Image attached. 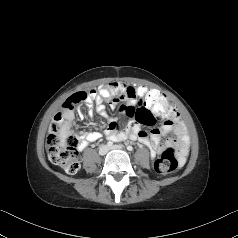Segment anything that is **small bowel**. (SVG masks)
Instances as JSON below:
<instances>
[{"label":"small bowel","instance_id":"obj_1","mask_svg":"<svg viewBox=\"0 0 238 238\" xmlns=\"http://www.w3.org/2000/svg\"><path fill=\"white\" fill-rule=\"evenodd\" d=\"M134 86H128V90L125 94L117 97L119 102L122 101L121 112L128 115L130 120L128 121L124 129H119L118 121L116 118H108L105 106L100 103L99 94L96 91L90 90L84 102L86 106L107 119V125L104 128V135L112 141H123L125 139H130L134 141H139L146 145L154 157L157 154L163 152L166 148L175 145L177 147L178 156L180 162H183L189 147V136L185 125L180 121L177 112H174L170 117L163 119V123L159 128H153L157 125L158 120L149 111L148 100L144 97H139L135 93ZM117 103H110L114 107ZM79 116L82 117V113L79 111ZM61 117V120H60ZM74 118L73 107L68 108L63 104V111L58 113L54 117V122L60 121L65 123ZM144 122V123H143ZM141 125H146L149 128H153L150 133L142 129ZM174 133L176 138L173 140L162 141V137L168 133ZM102 137V133L98 131H82L78 136V149L80 151L84 150L90 143L97 141Z\"/></svg>","mask_w":238,"mask_h":238}]
</instances>
